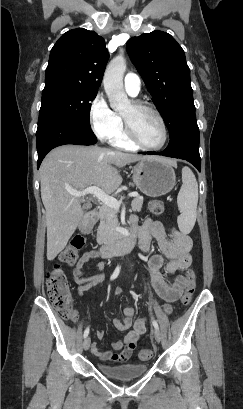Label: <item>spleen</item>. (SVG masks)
<instances>
[{"label": "spleen", "instance_id": "obj_1", "mask_svg": "<svg viewBox=\"0 0 243 409\" xmlns=\"http://www.w3.org/2000/svg\"><path fill=\"white\" fill-rule=\"evenodd\" d=\"M198 203V184L189 167L182 169V186L177 196V204L181 214L177 222L180 231L190 233L196 222Z\"/></svg>", "mask_w": 243, "mask_h": 409}]
</instances>
